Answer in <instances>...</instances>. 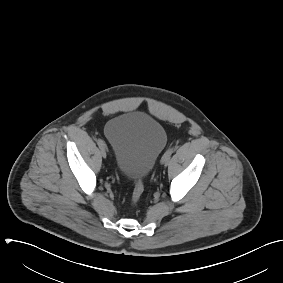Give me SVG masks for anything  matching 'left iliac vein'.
I'll list each match as a JSON object with an SVG mask.
<instances>
[{"instance_id": "obj_1", "label": "left iliac vein", "mask_w": 283, "mask_h": 283, "mask_svg": "<svg viewBox=\"0 0 283 283\" xmlns=\"http://www.w3.org/2000/svg\"><path fill=\"white\" fill-rule=\"evenodd\" d=\"M161 163L164 164V165H168L169 162H167V161H161Z\"/></svg>"}]
</instances>
